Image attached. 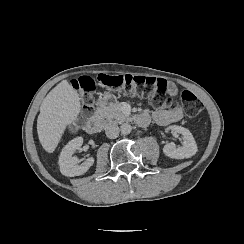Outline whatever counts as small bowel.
<instances>
[{
  "mask_svg": "<svg viewBox=\"0 0 244 244\" xmlns=\"http://www.w3.org/2000/svg\"><path fill=\"white\" fill-rule=\"evenodd\" d=\"M168 89L172 96L176 95L177 89L173 84H170ZM144 115L148 117V114ZM152 117L158 125L166 126L183 118V108L181 105L171 108H158L152 111Z\"/></svg>",
  "mask_w": 244,
  "mask_h": 244,
  "instance_id": "small-bowel-1",
  "label": "small bowel"
}]
</instances>
